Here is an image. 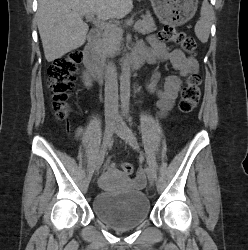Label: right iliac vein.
<instances>
[{
    "mask_svg": "<svg viewBox=\"0 0 248 250\" xmlns=\"http://www.w3.org/2000/svg\"><path fill=\"white\" fill-rule=\"evenodd\" d=\"M114 125H115V118L110 117V118L106 119L103 142H102L101 149H100L101 153L97 157L96 166H95L96 172L99 171V169L101 168L102 163L104 161V155H105V152L107 150L109 141L112 137V134L114 131Z\"/></svg>",
    "mask_w": 248,
    "mask_h": 250,
    "instance_id": "obj_1",
    "label": "right iliac vein"
}]
</instances>
